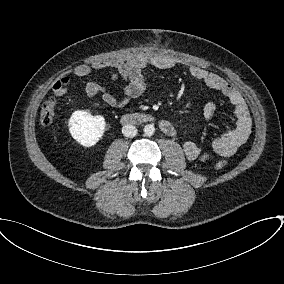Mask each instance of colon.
<instances>
[{
	"label": "colon",
	"instance_id": "obj_1",
	"mask_svg": "<svg viewBox=\"0 0 284 284\" xmlns=\"http://www.w3.org/2000/svg\"><path fill=\"white\" fill-rule=\"evenodd\" d=\"M55 116V100L49 98L46 100L40 110V121L43 126H50L54 120ZM226 166V161L221 160L216 163L218 169L224 168Z\"/></svg>",
	"mask_w": 284,
	"mask_h": 284
}]
</instances>
